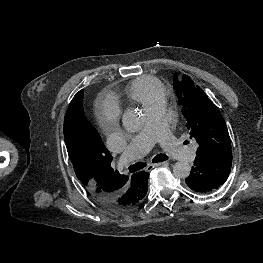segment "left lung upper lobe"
Returning a JSON list of instances; mask_svg holds the SVG:
<instances>
[{
	"instance_id": "5c2ea615",
	"label": "left lung upper lobe",
	"mask_w": 263,
	"mask_h": 263,
	"mask_svg": "<svg viewBox=\"0 0 263 263\" xmlns=\"http://www.w3.org/2000/svg\"><path fill=\"white\" fill-rule=\"evenodd\" d=\"M174 89L182 114L187 120V128L199 144L197 156L211 154L220 149H231V140L223 116L199 86L194 85L189 76L183 75L179 78L176 73Z\"/></svg>"
}]
</instances>
